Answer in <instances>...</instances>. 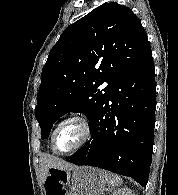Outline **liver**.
Returning a JSON list of instances; mask_svg holds the SVG:
<instances>
[{"label":"liver","mask_w":178,"mask_h":195,"mask_svg":"<svg viewBox=\"0 0 178 195\" xmlns=\"http://www.w3.org/2000/svg\"><path fill=\"white\" fill-rule=\"evenodd\" d=\"M42 163V171L44 174V177L47 176L48 170L50 168H59V169H72L74 166L72 164H69L63 160H60L59 158L45 155L41 159Z\"/></svg>","instance_id":"1"}]
</instances>
